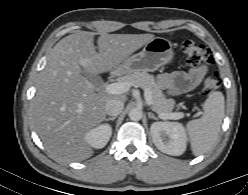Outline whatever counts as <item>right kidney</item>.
<instances>
[{
    "mask_svg": "<svg viewBox=\"0 0 248 195\" xmlns=\"http://www.w3.org/2000/svg\"><path fill=\"white\" fill-rule=\"evenodd\" d=\"M112 135V128L108 124H101L85 135V141L93 148L101 149L103 148Z\"/></svg>",
    "mask_w": 248,
    "mask_h": 195,
    "instance_id": "1",
    "label": "right kidney"
}]
</instances>
